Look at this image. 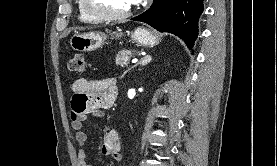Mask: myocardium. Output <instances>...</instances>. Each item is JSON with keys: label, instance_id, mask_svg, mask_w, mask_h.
Masks as SVG:
<instances>
[{"label": "myocardium", "instance_id": "obj_1", "mask_svg": "<svg viewBox=\"0 0 277 166\" xmlns=\"http://www.w3.org/2000/svg\"><path fill=\"white\" fill-rule=\"evenodd\" d=\"M79 4L82 8V10L89 15L90 17L100 20V21H121V20H125L127 18H129L134 10L135 7L134 5L128 9L126 12L120 13V14H110V13H104V12H100L97 11L93 8H91L88 4L87 0H79Z\"/></svg>", "mask_w": 277, "mask_h": 166}]
</instances>
